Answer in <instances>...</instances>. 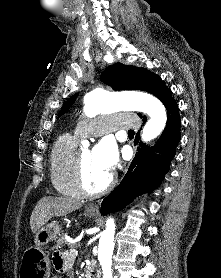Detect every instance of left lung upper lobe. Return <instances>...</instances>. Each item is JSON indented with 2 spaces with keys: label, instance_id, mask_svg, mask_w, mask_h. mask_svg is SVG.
I'll return each instance as SVG.
<instances>
[{
  "label": "left lung upper lobe",
  "instance_id": "obj_1",
  "mask_svg": "<svg viewBox=\"0 0 221 278\" xmlns=\"http://www.w3.org/2000/svg\"><path fill=\"white\" fill-rule=\"evenodd\" d=\"M100 80L114 90H142L149 92L159 98L165 107L174 100L171 90L162 83L161 78L147 69L116 63L105 69L100 76ZM76 97L77 94L65 102L59 116L69 109ZM138 115L142 117L141 114Z\"/></svg>",
  "mask_w": 221,
  "mask_h": 278
}]
</instances>
